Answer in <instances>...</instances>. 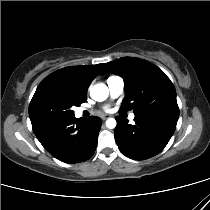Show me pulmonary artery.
<instances>
[{
    "mask_svg": "<svg viewBox=\"0 0 210 210\" xmlns=\"http://www.w3.org/2000/svg\"><path fill=\"white\" fill-rule=\"evenodd\" d=\"M107 86H108L110 95L113 98H116L120 96L124 90V81L119 76H112L107 79ZM83 110H84L83 108L79 109L78 113L81 114ZM129 118L130 120H133L135 118V115L131 114Z\"/></svg>",
    "mask_w": 210,
    "mask_h": 210,
    "instance_id": "1",
    "label": "pulmonary artery"
}]
</instances>
